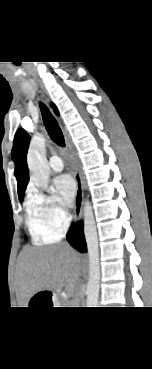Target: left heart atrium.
<instances>
[{
    "instance_id": "obj_1",
    "label": "left heart atrium",
    "mask_w": 152,
    "mask_h": 369,
    "mask_svg": "<svg viewBox=\"0 0 152 369\" xmlns=\"http://www.w3.org/2000/svg\"><path fill=\"white\" fill-rule=\"evenodd\" d=\"M54 187L59 194L62 203L70 207L76 195V184L69 174H62L54 180Z\"/></svg>"
}]
</instances>
